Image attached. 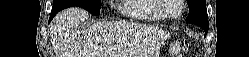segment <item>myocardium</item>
<instances>
[{"instance_id": "1", "label": "myocardium", "mask_w": 249, "mask_h": 57, "mask_svg": "<svg viewBox=\"0 0 249 57\" xmlns=\"http://www.w3.org/2000/svg\"><path fill=\"white\" fill-rule=\"evenodd\" d=\"M178 3L180 5V11L177 15H169L167 10L170 6V1L169 0H159V10L162 13V15L166 18V19H170V20H176L179 19L180 17H182V15L185 12V1L184 0H178Z\"/></svg>"}]
</instances>
